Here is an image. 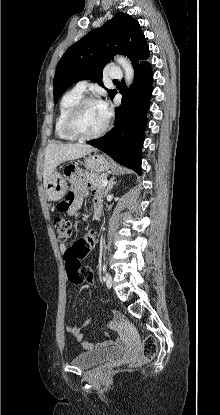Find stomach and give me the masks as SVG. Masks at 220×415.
<instances>
[{
  "mask_svg": "<svg viewBox=\"0 0 220 415\" xmlns=\"http://www.w3.org/2000/svg\"><path fill=\"white\" fill-rule=\"evenodd\" d=\"M85 166L87 169L94 172H104L110 169L111 163L104 155L89 154L85 158ZM47 197L51 201L61 200L68 190V184L66 178L60 173L54 172L46 185Z\"/></svg>",
  "mask_w": 220,
  "mask_h": 415,
  "instance_id": "obj_1",
  "label": "stomach"
}]
</instances>
